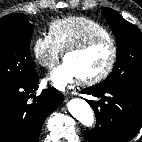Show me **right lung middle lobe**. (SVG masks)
<instances>
[{"mask_svg": "<svg viewBox=\"0 0 142 142\" xmlns=\"http://www.w3.org/2000/svg\"><path fill=\"white\" fill-rule=\"evenodd\" d=\"M33 28L25 14L12 13L0 19V90L36 76L29 45Z\"/></svg>", "mask_w": 142, "mask_h": 142, "instance_id": "1", "label": "right lung middle lobe"}]
</instances>
